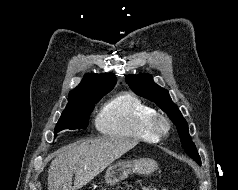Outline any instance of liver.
<instances>
[{"label": "liver", "mask_w": 238, "mask_h": 190, "mask_svg": "<svg viewBox=\"0 0 238 190\" xmlns=\"http://www.w3.org/2000/svg\"><path fill=\"white\" fill-rule=\"evenodd\" d=\"M137 145L120 137H102L70 144L57 152L48 170V190H77ZM75 174L74 186L72 177Z\"/></svg>", "instance_id": "liver-1"}]
</instances>
